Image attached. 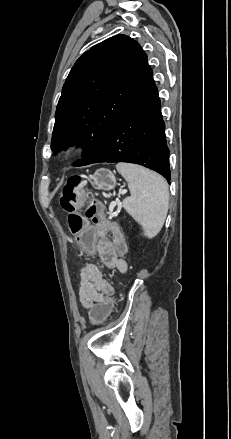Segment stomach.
I'll return each instance as SVG.
<instances>
[{
  "label": "stomach",
  "instance_id": "obj_1",
  "mask_svg": "<svg viewBox=\"0 0 231 439\" xmlns=\"http://www.w3.org/2000/svg\"><path fill=\"white\" fill-rule=\"evenodd\" d=\"M90 182L97 189L110 191L116 185V179L113 173L106 169L97 170L94 175L90 176Z\"/></svg>",
  "mask_w": 231,
  "mask_h": 439
}]
</instances>
